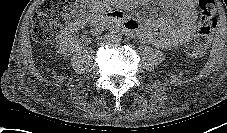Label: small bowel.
I'll return each mask as SVG.
<instances>
[{
  "instance_id": "obj_1",
  "label": "small bowel",
  "mask_w": 227,
  "mask_h": 133,
  "mask_svg": "<svg viewBox=\"0 0 227 133\" xmlns=\"http://www.w3.org/2000/svg\"><path fill=\"white\" fill-rule=\"evenodd\" d=\"M163 8L178 19L174 22L167 16L155 21L140 22L128 19L133 33L142 39L155 44L159 48L182 45L194 32L197 19V0H159ZM96 8H99L96 7ZM122 16V12L115 11Z\"/></svg>"
}]
</instances>
